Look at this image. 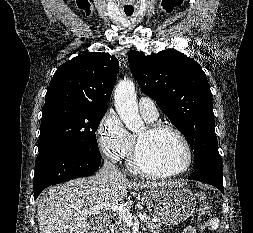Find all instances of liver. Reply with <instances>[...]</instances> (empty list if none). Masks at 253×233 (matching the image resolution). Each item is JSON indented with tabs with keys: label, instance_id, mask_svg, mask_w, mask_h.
Masks as SVG:
<instances>
[{
	"label": "liver",
	"instance_id": "liver-1",
	"mask_svg": "<svg viewBox=\"0 0 253 233\" xmlns=\"http://www.w3.org/2000/svg\"><path fill=\"white\" fill-rule=\"evenodd\" d=\"M164 184L167 183L131 182L123 175L97 173L51 186L41 195L37 205L40 233H85L90 223L82 210L103 202L118 204L131 189H150Z\"/></svg>",
	"mask_w": 253,
	"mask_h": 233
}]
</instances>
